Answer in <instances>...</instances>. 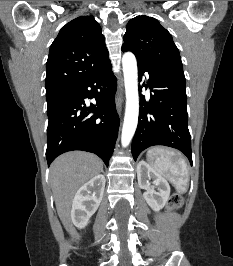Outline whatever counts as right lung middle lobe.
Masks as SVG:
<instances>
[{"label":"right lung middle lobe","mask_w":233,"mask_h":266,"mask_svg":"<svg viewBox=\"0 0 233 266\" xmlns=\"http://www.w3.org/2000/svg\"><path fill=\"white\" fill-rule=\"evenodd\" d=\"M67 92L68 91H55V92L46 93L47 104L60 98L61 96H63Z\"/></svg>","instance_id":"obj_1"}]
</instances>
